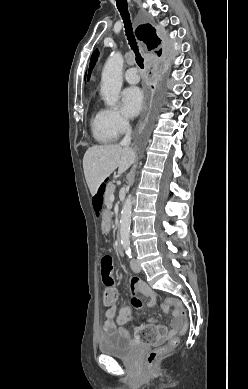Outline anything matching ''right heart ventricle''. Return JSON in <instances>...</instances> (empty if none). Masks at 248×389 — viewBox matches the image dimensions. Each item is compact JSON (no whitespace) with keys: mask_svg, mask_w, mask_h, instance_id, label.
I'll return each instance as SVG.
<instances>
[{"mask_svg":"<svg viewBox=\"0 0 248 389\" xmlns=\"http://www.w3.org/2000/svg\"><path fill=\"white\" fill-rule=\"evenodd\" d=\"M90 128L94 139L99 143H109L116 135L109 126L106 110L96 109L90 120Z\"/></svg>","mask_w":248,"mask_h":389,"instance_id":"e07e8e85","label":"right heart ventricle"}]
</instances>
